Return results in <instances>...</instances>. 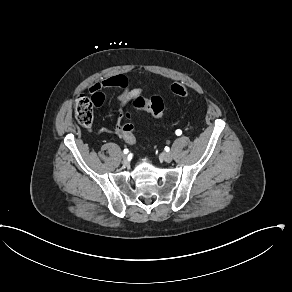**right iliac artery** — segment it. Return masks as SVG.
Listing matches in <instances>:
<instances>
[{"label": "right iliac artery", "instance_id": "obj_1", "mask_svg": "<svg viewBox=\"0 0 292 292\" xmlns=\"http://www.w3.org/2000/svg\"><path fill=\"white\" fill-rule=\"evenodd\" d=\"M124 154H127L129 151H128V149H124Z\"/></svg>", "mask_w": 292, "mask_h": 292}]
</instances>
